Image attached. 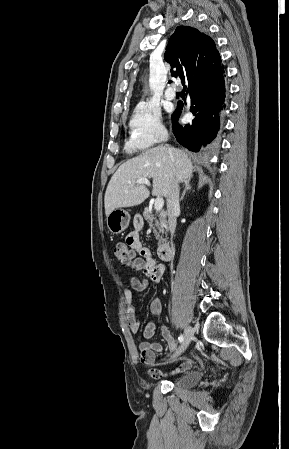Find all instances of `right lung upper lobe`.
Returning a JSON list of instances; mask_svg holds the SVG:
<instances>
[{
    "instance_id": "1",
    "label": "right lung upper lobe",
    "mask_w": 289,
    "mask_h": 449,
    "mask_svg": "<svg viewBox=\"0 0 289 449\" xmlns=\"http://www.w3.org/2000/svg\"><path fill=\"white\" fill-rule=\"evenodd\" d=\"M164 59L171 65V75L179 76L183 86L205 77L221 65L212 38L189 26L176 28L166 47Z\"/></svg>"
}]
</instances>
